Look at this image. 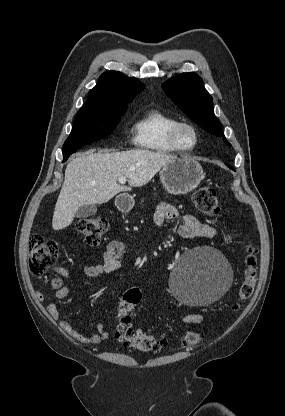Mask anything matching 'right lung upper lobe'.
<instances>
[{
  "mask_svg": "<svg viewBox=\"0 0 285 416\" xmlns=\"http://www.w3.org/2000/svg\"><path fill=\"white\" fill-rule=\"evenodd\" d=\"M144 85L136 78L127 77L118 71L103 73L98 84L89 92L83 108H110L127 106Z\"/></svg>",
  "mask_w": 285,
  "mask_h": 416,
  "instance_id": "obj_1",
  "label": "right lung upper lobe"
}]
</instances>
